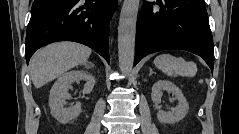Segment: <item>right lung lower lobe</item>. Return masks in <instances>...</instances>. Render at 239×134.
I'll return each instance as SVG.
<instances>
[{
    "label": "right lung lower lobe",
    "instance_id": "right-lung-lower-lobe-1",
    "mask_svg": "<svg viewBox=\"0 0 239 134\" xmlns=\"http://www.w3.org/2000/svg\"><path fill=\"white\" fill-rule=\"evenodd\" d=\"M117 0H34L26 34V61L56 41L89 46L109 63V23Z\"/></svg>",
    "mask_w": 239,
    "mask_h": 134
}]
</instances>
